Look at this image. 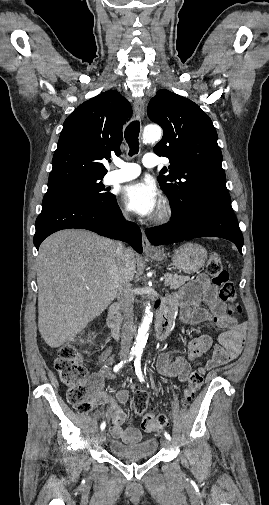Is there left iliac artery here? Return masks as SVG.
I'll return each instance as SVG.
<instances>
[{"mask_svg": "<svg viewBox=\"0 0 269 505\" xmlns=\"http://www.w3.org/2000/svg\"><path fill=\"white\" fill-rule=\"evenodd\" d=\"M134 367H135V372H136L137 377L139 378V380L141 382H144L145 380H144V376H143L142 370H141V353L136 354V358L134 361ZM164 436L166 437V439L171 440V436L168 432L165 431Z\"/></svg>", "mask_w": 269, "mask_h": 505, "instance_id": "obj_1", "label": "left iliac artery"}]
</instances>
